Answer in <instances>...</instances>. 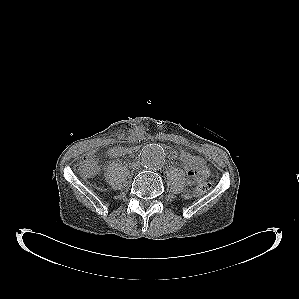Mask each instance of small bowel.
Segmentation results:
<instances>
[{
	"label": "small bowel",
	"instance_id": "small-bowel-1",
	"mask_svg": "<svg viewBox=\"0 0 299 299\" xmlns=\"http://www.w3.org/2000/svg\"><path fill=\"white\" fill-rule=\"evenodd\" d=\"M138 150V146H129V147H113L108 151V155L110 157H120L125 155H132ZM199 163L197 166L186 168L187 170V177L188 183L190 185H194L197 182L204 179L207 174L208 170L203 162L198 158Z\"/></svg>",
	"mask_w": 299,
	"mask_h": 299
}]
</instances>
